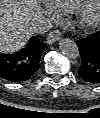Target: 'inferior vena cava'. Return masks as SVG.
<instances>
[{
  "label": "inferior vena cava",
  "instance_id": "602c4592",
  "mask_svg": "<svg viewBox=\"0 0 100 118\" xmlns=\"http://www.w3.org/2000/svg\"><path fill=\"white\" fill-rule=\"evenodd\" d=\"M52 28V21L46 17L35 19L30 26V29L36 34L48 32Z\"/></svg>",
  "mask_w": 100,
  "mask_h": 118
}]
</instances>
